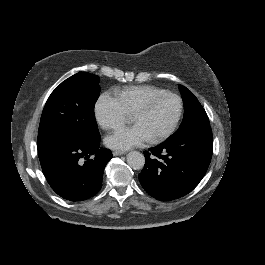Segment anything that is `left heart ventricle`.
Masks as SVG:
<instances>
[{
	"mask_svg": "<svg viewBox=\"0 0 265 265\" xmlns=\"http://www.w3.org/2000/svg\"><path fill=\"white\" fill-rule=\"evenodd\" d=\"M178 110L176 99L168 96L157 98L149 108L140 113L133 114L132 121L141 125L150 138L158 135L174 120Z\"/></svg>",
	"mask_w": 265,
	"mask_h": 265,
	"instance_id": "1",
	"label": "left heart ventricle"
}]
</instances>
